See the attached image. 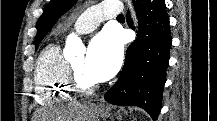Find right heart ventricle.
<instances>
[{
	"instance_id": "right-heart-ventricle-1",
	"label": "right heart ventricle",
	"mask_w": 217,
	"mask_h": 121,
	"mask_svg": "<svg viewBox=\"0 0 217 121\" xmlns=\"http://www.w3.org/2000/svg\"><path fill=\"white\" fill-rule=\"evenodd\" d=\"M68 62L59 43H51L40 53L35 68V93L39 103L50 105L71 95L67 82Z\"/></svg>"
}]
</instances>
